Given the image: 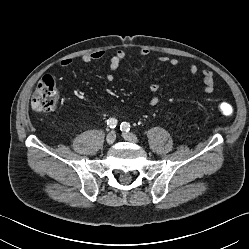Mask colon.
I'll return each mask as SVG.
<instances>
[{
	"instance_id": "obj_1",
	"label": "colon",
	"mask_w": 249,
	"mask_h": 249,
	"mask_svg": "<svg viewBox=\"0 0 249 249\" xmlns=\"http://www.w3.org/2000/svg\"><path fill=\"white\" fill-rule=\"evenodd\" d=\"M58 97L55 80L50 75H44L38 82L33 98L32 107L41 113H51L57 109ZM218 110L224 116H231L233 108L229 103L221 102Z\"/></svg>"
}]
</instances>
